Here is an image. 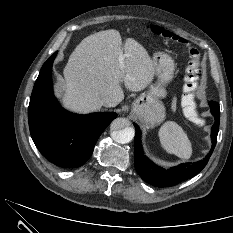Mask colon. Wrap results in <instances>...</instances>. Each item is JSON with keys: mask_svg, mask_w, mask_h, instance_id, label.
Segmentation results:
<instances>
[{"mask_svg": "<svg viewBox=\"0 0 233 233\" xmlns=\"http://www.w3.org/2000/svg\"><path fill=\"white\" fill-rule=\"evenodd\" d=\"M149 30L156 36L165 41L177 42L184 44L187 47L189 54V62L185 71L184 78V97L183 105L185 110L191 117H197V111L194 101V93L198 86L200 75V53L199 51L190 46L187 41L172 32L165 30L159 26H150Z\"/></svg>", "mask_w": 233, "mask_h": 233, "instance_id": "colon-1", "label": "colon"}]
</instances>
